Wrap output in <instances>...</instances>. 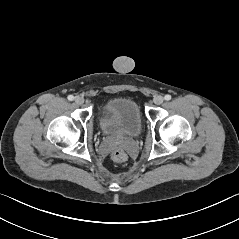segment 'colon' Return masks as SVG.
Instances as JSON below:
<instances>
[{
    "mask_svg": "<svg viewBox=\"0 0 239 239\" xmlns=\"http://www.w3.org/2000/svg\"><path fill=\"white\" fill-rule=\"evenodd\" d=\"M111 159L116 163H125L128 160V155L123 149H115L110 155Z\"/></svg>",
    "mask_w": 239,
    "mask_h": 239,
    "instance_id": "1",
    "label": "colon"
}]
</instances>
